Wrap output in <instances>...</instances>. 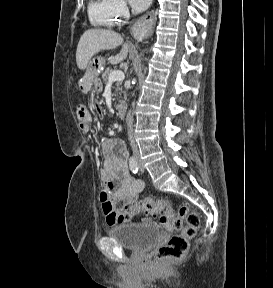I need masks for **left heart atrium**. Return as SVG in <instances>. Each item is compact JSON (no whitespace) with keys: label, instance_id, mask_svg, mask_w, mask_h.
Here are the masks:
<instances>
[{"label":"left heart atrium","instance_id":"39dd6f15","mask_svg":"<svg viewBox=\"0 0 273 288\" xmlns=\"http://www.w3.org/2000/svg\"><path fill=\"white\" fill-rule=\"evenodd\" d=\"M150 2L151 0H130L132 7L137 11H142L146 9L149 6Z\"/></svg>","mask_w":273,"mask_h":288}]
</instances>
